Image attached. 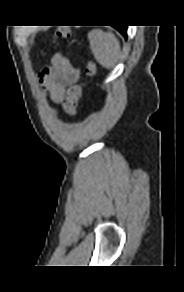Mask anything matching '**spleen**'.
Masks as SVG:
<instances>
[{"mask_svg":"<svg viewBox=\"0 0 184 292\" xmlns=\"http://www.w3.org/2000/svg\"><path fill=\"white\" fill-rule=\"evenodd\" d=\"M88 39L94 58L103 67L113 68L120 53V43L115 35L96 29L88 34Z\"/></svg>","mask_w":184,"mask_h":292,"instance_id":"obj_1","label":"spleen"}]
</instances>
